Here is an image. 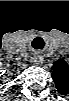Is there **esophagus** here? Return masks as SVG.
I'll use <instances>...</instances> for the list:
<instances>
[{
	"mask_svg": "<svg viewBox=\"0 0 69 101\" xmlns=\"http://www.w3.org/2000/svg\"><path fill=\"white\" fill-rule=\"evenodd\" d=\"M32 62L35 65H41L43 63V57L40 52H35L32 58Z\"/></svg>",
	"mask_w": 69,
	"mask_h": 101,
	"instance_id": "1",
	"label": "esophagus"
}]
</instances>
